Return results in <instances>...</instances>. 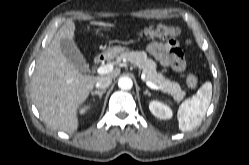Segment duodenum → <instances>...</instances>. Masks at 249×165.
Segmentation results:
<instances>
[{
  "label": "duodenum",
  "mask_w": 249,
  "mask_h": 165,
  "mask_svg": "<svg viewBox=\"0 0 249 165\" xmlns=\"http://www.w3.org/2000/svg\"><path fill=\"white\" fill-rule=\"evenodd\" d=\"M106 58L107 56L105 54L99 55L98 57L94 59V65L95 66L101 65L106 60Z\"/></svg>",
  "instance_id": "1"
}]
</instances>
